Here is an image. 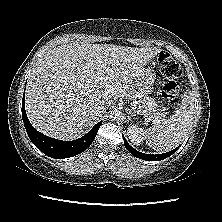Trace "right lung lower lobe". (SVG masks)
Here are the masks:
<instances>
[{
    "mask_svg": "<svg viewBox=\"0 0 222 222\" xmlns=\"http://www.w3.org/2000/svg\"><path fill=\"white\" fill-rule=\"evenodd\" d=\"M22 118L32 143L44 154L52 158H69L84 152L93 142L102 124L98 122L86 135L74 141H61L38 132L29 122L25 111V92L22 102Z\"/></svg>",
    "mask_w": 222,
    "mask_h": 222,
    "instance_id": "98d812e1",
    "label": "right lung lower lobe"
}]
</instances>
